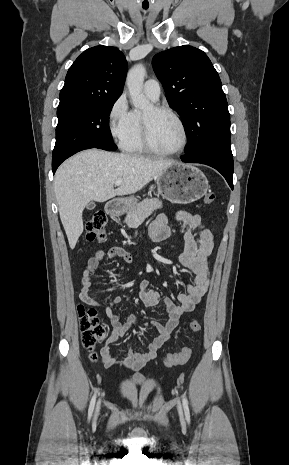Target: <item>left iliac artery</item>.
I'll list each match as a JSON object with an SVG mask.
<instances>
[{
    "label": "left iliac artery",
    "mask_w": 289,
    "mask_h": 465,
    "mask_svg": "<svg viewBox=\"0 0 289 465\" xmlns=\"http://www.w3.org/2000/svg\"><path fill=\"white\" fill-rule=\"evenodd\" d=\"M182 403H183V408H184V412H185V417H186L187 421L189 422L190 421V412H189L188 402H187L186 397L184 395H182Z\"/></svg>",
    "instance_id": "44dca946"
}]
</instances>
